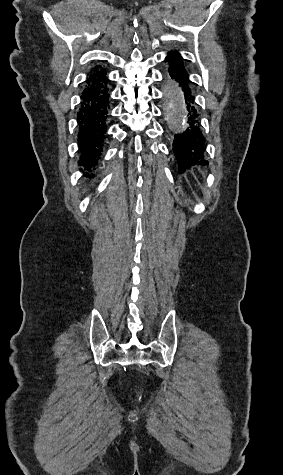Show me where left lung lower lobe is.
<instances>
[{"label": "left lung lower lobe", "instance_id": "0a47b994", "mask_svg": "<svg viewBox=\"0 0 283 475\" xmlns=\"http://www.w3.org/2000/svg\"><path fill=\"white\" fill-rule=\"evenodd\" d=\"M169 62V74L179 82L188 110V127L174 138L173 151L179 163V171L183 172L196 164H208L206 157V139L200 124V115L192 95L191 82L183 67L182 57L177 52H169L166 57Z\"/></svg>", "mask_w": 283, "mask_h": 475}]
</instances>
